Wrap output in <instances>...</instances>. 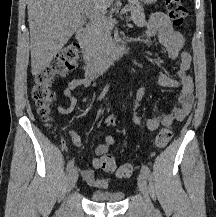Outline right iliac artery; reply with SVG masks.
<instances>
[{"label":"right iliac artery","instance_id":"1","mask_svg":"<svg viewBox=\"0 0 216 217\" xmlns=\"http://www.w3.org/2000/svg\"><path fill=\"white\" fill-rule=\"evenodd\" d=\"M109 90V85H106L101 94L98 97V100H101L106 95L107 91ZM74 166V159L70 160L67 165V170L70 171Z\"/></svg>","mask_w":216,"mask_h":217}]
</instances>
